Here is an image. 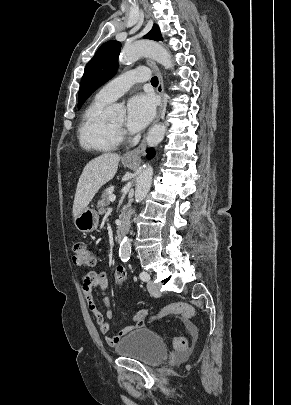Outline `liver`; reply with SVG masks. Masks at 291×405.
<instances>
[{
    "label": "liver",
    "instance_id": "1",
    "mask_svg": "<svg viewBox=\"0 0 291 405\" xmlns=\"http://www.w3.org/2000/svg\"><path fill=\"white\" fill-rule=\"evenodd\" d=\"M119 161L118 154L104 153L85 166L76 188L73 203L74 218L87 208L99 189L115 176Z\"/></svg>",
    "mask_w": 291,
    "mask_h": 405
}]
</instances>
